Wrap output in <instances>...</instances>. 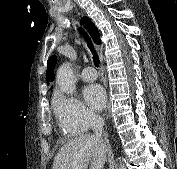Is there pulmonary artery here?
Masks as SVG:
<instances>
[{
    "instance_id": "pulmonary-artery-1",
    "label": "pulmonary artery",
    "mask_w": 177,
    "mask_h": 169,
    "mask_svg": "<svg viewBox=\"0 0 177 169\" xmlns=\"http://www.w3.org/2000/svg\"><path fill=\"white\" fill-rule=\"evenodd\" d=\"M81 77L86 82H92L97 79L98 74L93 67L87 66L83 69Z\"/></svg>"
}]
</instances>
